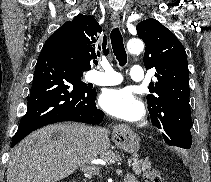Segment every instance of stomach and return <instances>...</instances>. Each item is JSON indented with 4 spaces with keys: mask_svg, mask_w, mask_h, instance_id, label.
I'll return each instance as SVG.
<instances>
[{
    "mask_svg": "<svg viewBox=\"0 0 211 182\" xmlns=\"http://www.w3.org/2000/svg\"><path fill=\"white\" fill-rule=\"evenodd\" d=\"M113 141L119 149L127 153L137 152L140 145L139 137L129 130H118L114 132Z\"/></svg>",
    "mask_w": 211,
    "mask_h": 182,
    "instance_id": "0dacf381",
    "label": "stomach"
}]
</instances>
